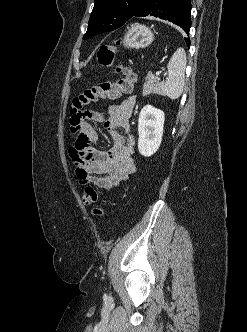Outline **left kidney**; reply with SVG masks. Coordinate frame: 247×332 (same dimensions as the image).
<instances>
[{
	"label": "left kidney",
	"mask_w": 247,
	"mask_h": 332,
	"mask_svg": "<svg viewBox=\"0 0 247 332\" xmlns=\"http://www.w3.org/2000/svg\"><path fill=\"white\" fill-rule=\"evenodd\" d=\"M165 114L151 105L142 108L138 119V150L145 157L152 156L160 147Z\"/></svg>",
	"instance_id": "obj_1"
}]
</instances>
